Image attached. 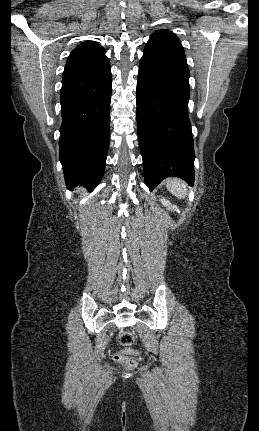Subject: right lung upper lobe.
<instances>
[{"mask_svg":"<svg viewBox=\"0 0 259 431\" xmlns=\"http://www.w3.org/2000/svg\"><path fill=\"white\" fill-rule=\"evenodd\" d=\"M109 63L105 49L94 41H85L70 54L63 77L100 68Z\"/></svg>","mask_w":259,"mask_h":431,"instance_id":"obj_1","label":"right lung upper lobe"}]
</instances>
